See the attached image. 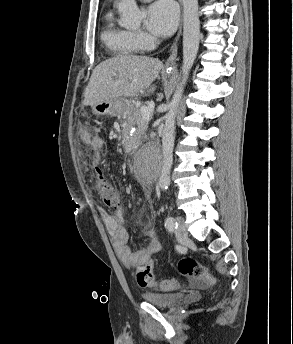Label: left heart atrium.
Masks as SVG:
<instances>
[{"label": "left heart atrium", "mask_w": 293, "mask_h": 344, "mask_svg": "<svg viewBox=\"0 0 293 344\" xmlns=\"http://www.w3.org/2000/svg\"><path fill=\"white\" fill-rule=\"evenodd\" d=\"M178 22V11L171 0H159L147 10L146 27L159 37L170 36Z\"/></svg>", "instance_id": "left-heart-atrium-1"}]
</instances>
